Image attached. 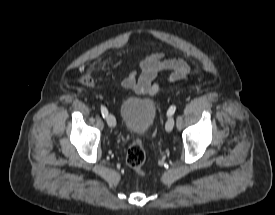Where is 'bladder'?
Listing matches in <instances>:
<instances>
[{"mask_svg":"<svg viewBox=\"0 0 275 215\" xmlns=\"http://www.w3.org/2000/svg\"><path fill=\"white\" fill-rule=\"evenodd\" d=\"M120 113L128 132L143 135L150 131L154 123L156 104L150 98L129 96L122 101Z\"/></svg>","mask_w":275,"mask_h":215,"instance_id":"31cf9c89","label":"bladder"}]
</instances>
